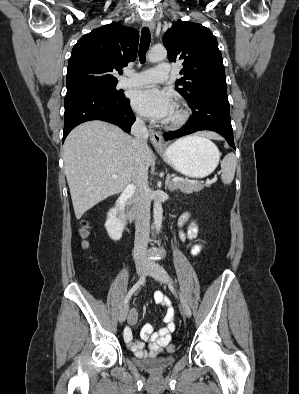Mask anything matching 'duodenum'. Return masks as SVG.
<instances>
[{
	"label": "duodenum",
	"mask_w": 299,
	"mask_h": 394,
	"mask_svg": "<svg viewBox=\"0 0 299 394\" xmlns=\"http://www.w3.org/2000/svg\"><path fill=\"white\" fill-rule=\"evenodd\" d=\"M136 187L134 185L127 186L116 201V208L119 212L120 220L123 224L128 223L129 217L126 213V205L131 197L134 195Z\"/></svg>",
	"instance_id": "410a0bca"
}]
</instances>
